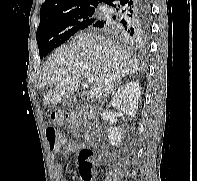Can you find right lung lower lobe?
Returning a JSON list of instances; mask_svg holds the SVG:
<instances>
[{
	"label": "right lung lower lobe",
	"instance_id": "98d812e1",
	"mask_svg": "<svg viewBox=\"0 0 197 181\" xmlns=\"http://www.w3.org/2000/svg\"><path fill=\"white\" fill-rule=\"evenodd\" d=\"M119 14L98 20L92 26L122 35L131 40L140 37L150 21V0H108Z\"/></svg>",
	"mask_w": 197,
	"mask_h": 181
}]
</instances>
